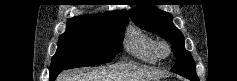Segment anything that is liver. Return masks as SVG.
Segmentation results:
<instances>
[{
	"mask_svg": "<svg viewBox=\"0 0 237 81\" xmlns=\"http://www.w3.org/2000/svg\"><path fill=\"white\" fill-rule=\"evenodd\" d=\"M161 73L131 65L87 67L63 72L58 81H155Z\"/></svg>",
	"mask_w": 237,
	"mask_h": 81,
	"instance_id": "6515ba94",
	"label": "liver"
}]
</instances>
